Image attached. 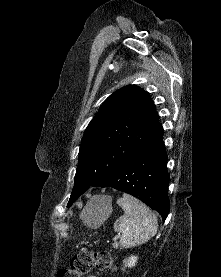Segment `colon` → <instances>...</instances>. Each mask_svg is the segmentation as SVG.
Wrapping results in <instances>:
<instances>
[{"instance_id":"5ec220e1","label":"colon","mask_w":221,"mask_h":277,"mask_svg":"<svg viewBox=\"0 0 221 277\" xmlns=\"http://www.w3.org/2000/svg\"><path fill=\"white\" fill-rule=\"evenodd\" d=\"M112 257L105 251H86L71 259L67 268L61 269L57 277H82L91 269L106 270L112 266Z\"/></svg>"}]
</instances>
